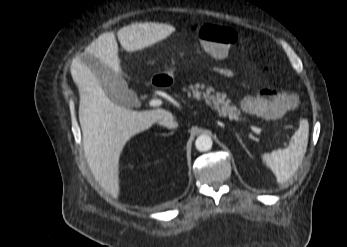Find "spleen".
<instances>
[{
    "label": "spleen",
    "instance_id": "obj_1",
    "mask_svg": "<svg viewBox=\"0 0 347 247\" xmlns=\"http://www.w3.org/2000/svg\"><path fill=\"white\" fill-rule=\"evenodd\" d=\"M308 136V121L302 119L287 148L262 155L263 161L276 175L278 183L285 184L298 170L306 153Z\"/></svg>",
    "mask_w": 347,
    "mask_h": 247
}]
</instances>
